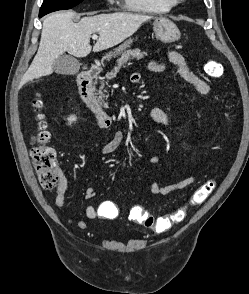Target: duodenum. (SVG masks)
<instances>
[{
	"label": "duodenum",
	"instance_id": "410a0bca",
	"mask_svg": "<svg viewBox=\"0 0 249 294\" xmlns=\"http://www.w3.org/2000/svg\"><path fill=\"white\" fill-rule=\"evenodd\" d=\"M101 71V65L96 64L79 75L78 90L79 95L87 109L101 121L105 127L109 128L113 125V118L108 115L102 108L94 90V79Z\"/></svg>",
	"mask_w": 249,
	"mask_h": 294
}]
</instances>
